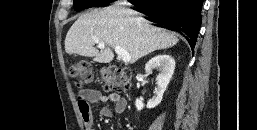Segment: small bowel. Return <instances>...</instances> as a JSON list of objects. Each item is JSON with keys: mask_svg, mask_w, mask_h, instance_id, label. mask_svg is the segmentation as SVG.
Instances as JSON below:
<instances>
[{"mask_svg": "<svg viewBox=\"0 0 257 130\" xmlns=\"http://www.w3.org/2000/svg\"><path fill=\"white\" fill-rule=\"evenodd\" d=\"M90 103H112V108L104 105L100 109V115L105 118H110L115 114H121L127 108L126 100L116 93L106 95L95 88L81 90L77 97V104L86 130H96Z\"/></svg>", "mask_w": 257, "mask_h": 130, "instance_id": "obj_1", "label": "small bowel"}]
</instances>
